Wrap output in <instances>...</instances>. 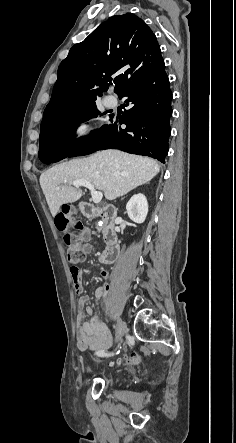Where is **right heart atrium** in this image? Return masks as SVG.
<instances>
[{
  "label": "right heart atrium",
  "instance_id": "right-heart-atrium-1",
  "mask_svg": "<svg viewBox=\"0 0 236 443\" xmlns=\"http://www.w3.org/2000/svg\"><path fill=\"white\" fill-rule=\"evenodd\" d=\"M69 139L74 144L88 143L93 139L94 132L88 118L76 120L69 129Z\"/></svg>",
  "mask_w": 236,
  "mask_h": 443
}]
</instances>
